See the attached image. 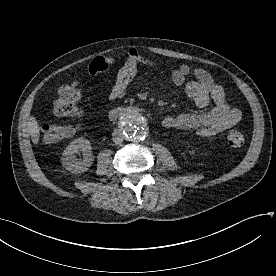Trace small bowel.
I'll return each mask as SVG.
<instances>
[{"label":"small bowel","mask_w":276,"mask_h":276,"mask_svg":"<svg viewBox=\"0 0 276 276\" xmlns=\"http://www.w3.org/2000/svg\"><path fill=\"white\" fill-rule=\"evenodd\" d=\"M115 62L113 57L98 56L88 68L89 74L95 76L106 71ZM153 65V62L141 55L135 48L127 52V56L116 73L115 83L107 94L110 101L124 97L128 86L135 79L138 65ZM193 73L195 80L186 81ZM172 81L177 86H183L188 97L198 108H206L211 102L214 108L205 113H184L176 116H166L162 125L168 129L195 130L198 135L210 137L218 135L240 122L242 113L231 106L221 85L215 83L212 76L202 68L191 69L182 64L171 73Z\"/></svg>","instance_id":"small-bowel-1"}]
</instances>
